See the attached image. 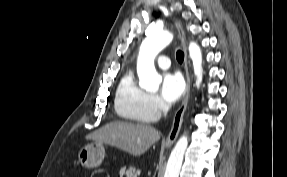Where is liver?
<instances>
[{
  "label": "liver",
  "instance_id": "obj_1",
  "mask_svg": "<svg viewBox=\"0 0 287 177\" xmlns=\"http://www.w3.org/2000/svg\"><path fill=\"white\" fill-rule=\"evenodd\" d=\"M160 132L146 124L113 121L86 136V139L105 143L131 155L140 156L160 139Z\"/></svg>",
  "mask_w": 287,
  "mask_h": 177
}]
</instances>
